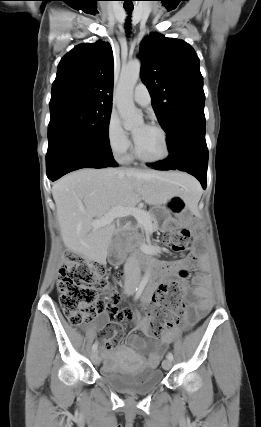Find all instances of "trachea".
I'll return each mask as SVG.
<instances>
[{
  "label": "trachea",
  "instance_id": "3493384b",
  "mask_svg": "<svg viewBox=\"0 0 261 427\" xmlns=\"http://www.w3.org/2000/svg\"><path fill=\"white\" fill-rule=\"evenodd\" d=\"M124 8H125V10L127 12L131 13L133 11V4H132V2H130V3H125L124 2ZM126 29L128 30V33H130L129 32V30L131 29V27H130V19H127Z\"/></svg>",
  "mask_w": 261,
  "mask_h": 427
}]
</instances>
